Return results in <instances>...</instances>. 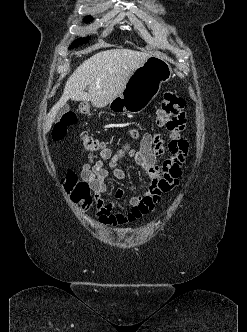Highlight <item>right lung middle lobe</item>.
Returning <instances> with one entry per match:
<instances>
[{
	"instance_id": "dd1d6c3e",
	"label": "right lung middle lobe",
	"mask_w": 247,
	"mask_h": 332,
	"mask_svg": "<svg viewBox=\"0 0 247 332\" xmlns=\"http://www.w3.org/2000/svg\"><path fill=\"white\" fill-rule=\"evenodd\" d=\"M84 21H85V22H90V21H92V18H91V17H86V18L84 19ZM85 41H86V39H78V40H75V42L73 43V45H72L71 47L73 48V47H75V46H77V45L82 44V43L85 42Z\"/></svg>"
}]
</instances>
